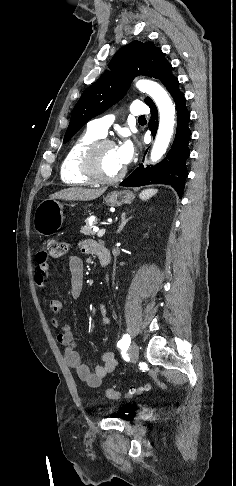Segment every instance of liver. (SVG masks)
I'll list each match as a JSON object with an SVG mask.
<instances>
[{
	"mask_svg": "<svg viewBox=\"0 0 236 486\" xmlns=\"http://www.w3.org/2000/svg\"><path fill=\"white\" fill-rule=\"evenodd\" d=\"M104 192L105 189H85L72 187L51 194L49 197L50 199L91 201L100 197Z\"/></svg>",
	"mask_w": 236,
	"mask_h": 486,
	"instance_id": "1",
	"label": "liver"
}]
</instances>
